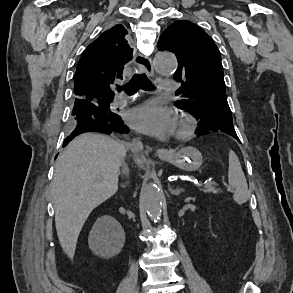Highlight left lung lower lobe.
I'll return each mask as SVG.
<instances>
[{
  "label": "left lung lower lobe",
  "mask_w": 293,
  "mask_h": 293,
  "mask_svg": "<svg viewBox=\"0 0 293 293\" xmlns=\"http://www.w3.org/2000/svg\"><path fill=\"white\" fill-rule=\"evenodd\" d=\"M212 131H223L229 135H231L232 137L236 138L239 142V138L234 130V128H228V127H218V126H212L209 128H204L203 126H200V128L196 131L197 134L202 135V134H206Z\"/></svg>",
  "instance_id": "obj_1"
}]
</instances>
